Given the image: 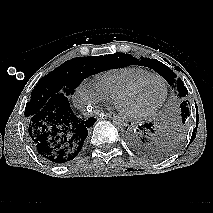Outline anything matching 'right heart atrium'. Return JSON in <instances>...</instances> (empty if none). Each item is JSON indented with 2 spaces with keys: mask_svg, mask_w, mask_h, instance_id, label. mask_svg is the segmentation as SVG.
Masks as SVG:
<instances>
[{
  "mask_svg": "<svg viewBox=\"0 0 213 213\" xmlns=\"http://www.w3.org/2000/svg\"><path fill=\"white\" fill-rule=\"evenodd\" d=\"M76 103L91 108L108 102V98L98 89L95 83L85 81L75 93Z\"/></svg>",
  "mask_w": 213,
  "mask_h": 213,
  "instance_id": "1",
  "label": "right heart atrium"
}]
</instances>
